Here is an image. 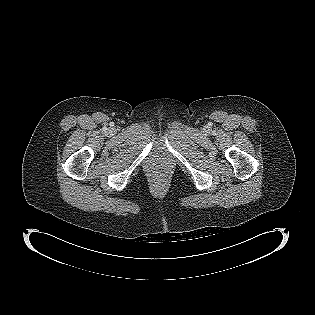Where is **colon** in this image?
<instances>
[{
  "mask_svg": "<svg viewBox=\"0 0 315 315\" xmlns=\"http://www.w3.org/2000/svg\"><path fill=\"white\" fill-rule=\"evenodd\" d=\"M155 176L158 180H166L168 177V174L165 170H160L156 172Z\"/></svg>",
  "mask_w": 315,
  "mask_h": 315,
  "instance_id": "colon-1",
  "label": "colon"
}]
</instances>
